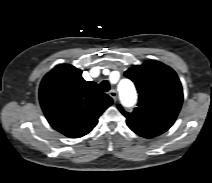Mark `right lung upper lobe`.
<instances>
[{
  "label": "right lung upper lobe",
  "mask_w": 212,
  "mask_h": 183,
  "mask_svg": "<svg viewBox=\"0 0 212 183\" xmlns=\"http://www.w3.org/2000/svg\"><path fill=\"white\" fill-rule=\"evenodd\" d=\"M39 99L51 126L71 138L89 133L113 102L95 82L85 81L80 69L69 64L56 66L43 78Z\"/></svg>",
  "instance_id": "1"
}]
</instances>
